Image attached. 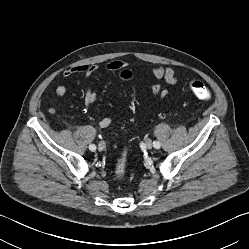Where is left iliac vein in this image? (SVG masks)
<instances>
[{"mask_svg": "<svg viewBox=\"0 0 249 249\" xmlns=\"http://www.w3.org/2000/svg\"><path fill=\"white\" fill-rule=\"evenodd\" d=\"M145 145H146V147H147L148 149H151L152 146H153L152 140H151V139H147V140L145 141Z\"/></svg>", "mask_w": 249, "mask_h": 249, "instance_id": "4c4485c4", "label": "left iliac vein"}]
</instances>
